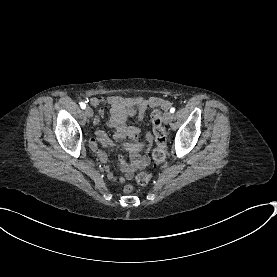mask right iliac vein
<instances>
[{"label": "right iliac vein", "instance_id": "obj_1", "mask_svg": "<svg viewBox=\"0 0 277 277\" xmlns=\"http://www.w3.org/2000/svg\"><path fill=\"white\" fill-rule=\"evenodd\" d=\"M85 114H86V116H87L88 118H91V117L93 116V110H92V108L87 107V108L85 109Z\"/></svg>", "mask_w": 277, "mask_h": 277}]
</instances>
